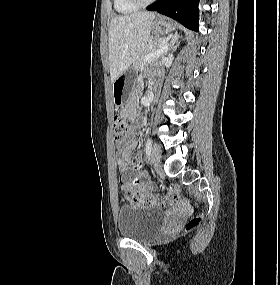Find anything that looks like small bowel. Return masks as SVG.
I'll return each mask as SVG.
<instances>
[{
	"mask_svg": "<svg viewBox=\"0 0 280 285\" xmlns=\"http://www.w3.org/2000/svg\"><path fill=\"white\" fill-rule=\"evenodd\" d=\"M124 114L135 118V114L131 113L128 109L123 111ZM137 147L135 139L126 141L118 146L119 158L117 159V166L121 172L120 184L124 190H134V192L146 193L153 190V184L148 180L147 173L143 170V160L138 158L131 164V151ZM130 166L131 171L134 173L133 178H128L127 170Z\"/></svg>",
	"mask_w": 280,
	"mask_h": 285,
	"instance_id": "1",
	"label": "small bowel"
}]
</instances>
